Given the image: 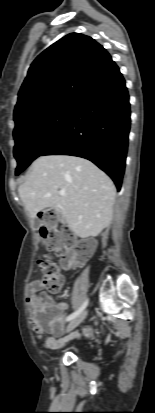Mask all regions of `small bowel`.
I'll use <instances>...</instances> for the list:
<instances>
[{"mask_svg": "<svg viewBox=\"0 0 155 413\" xmlns=\"http://www.w3.org/2000/svg\"><path fill=\"white\" fill-rule=\"evenodd\" d=\"M44 289L45 286L40 279L33 280L27 289L26 301L30 310L32 327L39 338H44L47 348L59 349L69 340L79 338L80 335L79 333L64 335L67 304L65 302L51 304ZM39 293L42 295L38 298ZM49 310H52V316L42 321L41 315Z\"/></svg>", "mask_w": 155, "mask_h": 413, "instance_id": "1", "label": "small bowel"}]
</instances>
